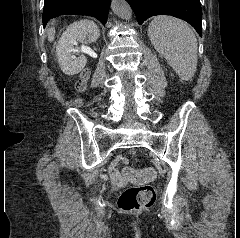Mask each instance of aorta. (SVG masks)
I'll list each match as a JSON object with an SVG mask.
<instances>
[{
    "label": "aorta",
    "mask_w": 240,
    "mask_h": 238,
    "mask_svg": "<svg viewBox=\"0 0 240 238\" xmlns=\"http://www.w3.org/2000/svg\"><path fill=\"white\" fill-rule=\"evenodd\" d=\"M111 9L122 19L129 20L132 17V9L126 0H112Z\"/></svg>",
    "instance_id": "aorta-1"
}]
</instances>
